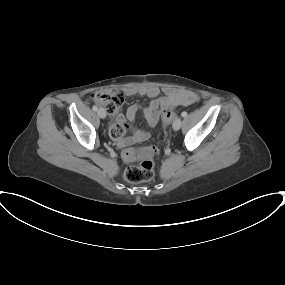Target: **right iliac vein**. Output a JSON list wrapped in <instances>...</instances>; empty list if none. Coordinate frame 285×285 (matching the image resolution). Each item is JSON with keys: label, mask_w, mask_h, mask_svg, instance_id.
I'll list each match as a JSON object with an SVG mask.
<instances>
[{"label": "right iliac vein", "mask_w": 285, "mask_h": 285, "mask_svg": "<svg viewBox=\"0 0 285 285\" xmlns=\"http://www.w3.org/2000/svg\"><path fill=\"white\" fill-rule=\"evenodd\" d=\"M97 114L100 118L104 119L106 117V111L103 109V108H100L98 111H97Z\"/></svg>", "instance_id": "1"}]
</instances>
